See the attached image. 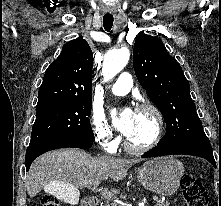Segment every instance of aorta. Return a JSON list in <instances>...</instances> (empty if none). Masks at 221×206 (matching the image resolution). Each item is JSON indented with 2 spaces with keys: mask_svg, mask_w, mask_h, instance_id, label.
Wrapping results in <instances>:
<instances>
[{
  "mask_svg": "<svg viewBox=\"0 0 221 206\" xmlns=\"http://www.w3.org/2000/svg\"><path fill=\"white\" fill-rule=\"evenodd\" d=\"M130 58L129 49L122 47L107 53L102 66L104 81H109L119 73L128 63Z\"/></svg>",
  "mask_w": 221,
  "mask_h": 206,
  "instance_id": "762f6f07",
  "label": "aorta"
}]
</instances>
